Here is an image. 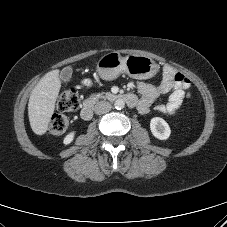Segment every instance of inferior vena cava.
Masks as SVG:
<instances>
[{
    "mask_svg": "<svg viewBox=\"0 0 227 227\" xmlns=\"http://www.w3.org/2000/svg\"><path fill=\"white\" fill-rule=\"evenodd\" d=\"M112 106L108 101H100L98 102L95 107L94 111L96 114H105L111 110Z\"/></svg>",
    "mask_w": 227,
    "mask_h": 227,
    "instance_id": "inferior-vena-cava-1",
    "label": "inferior vena cava"
}]
</instances>
